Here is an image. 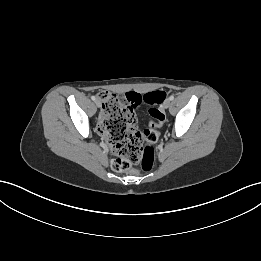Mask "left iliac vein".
Here are the masks:
<instances>
[{
	"label": "left iliac vein",
	"mask_w": 261,
	"mask_h": 261,
	"mask_svg": "<svg viewBox=\"0 0 261 261\" xmlns=\"http://www.w3.org/2000/svg\"><path fill=\"white\" fill-rule=\"evenodd\" d=\"M170 105H171V100L170 99H166L164 101V103H163V107L164 108H168V107H170Z\"/></svg>",
	"instance_id": "4c4485c4"
}]
</instances>
